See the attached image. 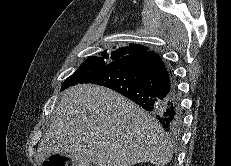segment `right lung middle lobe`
Masks as SVG:
<instances>
[{
  "label": "right lung middle lobe",
  "mask_w": 231,
  "mask_h": 166,
  "mask_svg": "<svg viewBox=\"0 0 231 166\" xmlns=\"http://www.w3.org/2000/svg\"><path fill=\"white\" fill-rule=\"evenodd\" d=\"M116 60V56L101 53L100 56H91L63 83L61 90L82 82L84 79L101 70L107 64Z\"/></svg>",
  "instance_id": "1"
}]
</instances>
